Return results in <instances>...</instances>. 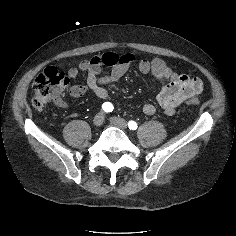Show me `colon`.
<instances>
[{"label":"colon","mask_w":236,"mask_h":236,"mask_svg":"<svg viewBox=\"0 0 236 236\" xmlns=\"http://www.w3.org/2000/svg\"><path fill=\"white\" fill-rule=\"evenodd\" d=\"M69 77L67 74L54 67L46 68L33 82L32 105L36 109L44 108L51 100L59 99L62 90L68 85ZM185 104L191 107H198L200 101L196 97H189Z\"/></svg>","instance_id":"1"}]
</instances>
